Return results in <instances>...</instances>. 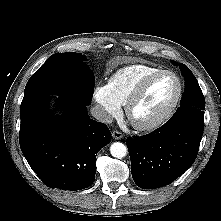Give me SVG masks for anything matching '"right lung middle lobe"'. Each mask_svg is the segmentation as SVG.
<instances>
[{
  "mask_svg": "<svg viewBox=\"0 0 221 221\" xmlns=\"http://www.w3.org/2000/svg\"><path fill=\"white\" fill-rule=\"evenodd\" d=\"M80 53L51 55L29 79L24 90L20 113L52 94L76 97L90 103L94 90V74Z\"/></svg>",
  "mask_w": 221,
  "mask_h": 221,
  "instance_id": "dd1d6c3e",
  "label": "right lung middle lobe"
}]
</instances>
